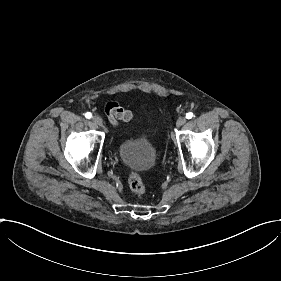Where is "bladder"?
Wrapping results in <instances>:
<instances>
[{
	"label": "bladder",
	"mask_w": 281,
	"mask_h": 281,
	"mask_svg": "<svg viewBox=\"0 0 281 281\" xmlns=\"http://www.w3.org/2000/svg\"><path fill=\"white\" fill-rule=\"evenodd\" d=\"M119 156L127 166L136 169H147L154 162V150L146 141H123Z\"/></svg>",
	"instance_id": "obj_1"
}]
</instances>
